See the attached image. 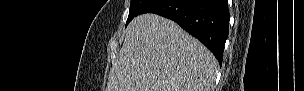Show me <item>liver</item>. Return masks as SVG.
Returning a JSON list of instances; mask_svg holds the SVG:
<instances>
[{
  "label": "liver",
  "mask_w": 304,
  "mask_h": 91,
  "mask_svg": "<svg viewBox=\"0 0 304 91\" xmlns=\"http://www.w3.org/2000/svg\"><path fill=\"white\" fill-rule=\"evenodd\" d=\"M217 69L214 55L175 22L143 14L125 31L108 91H211Z\"/></svg>",
  "instance_id": "1"
}]
</instances>
